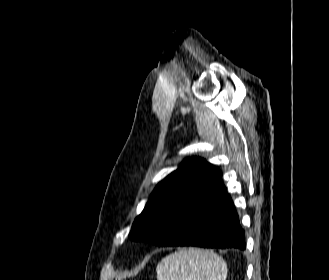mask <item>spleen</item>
<instances>
[{"label":"spleen","mask_w":329,"mask_h":280,"mask_svg":"<svg viewBox=\"0 0 329 280\" xmlns=\"http://www.w3.org/2000/svg\"><path fill=\"white\" fill-rule=\"evenodd\" d=\"M156 272L157 280H226L227 264L211 250L190 247L164 257Z\"/></svg>","instance_id":"obj_1"}]
</instances>
